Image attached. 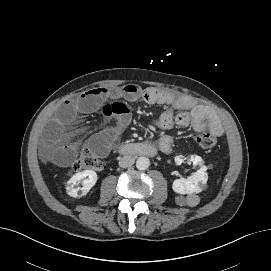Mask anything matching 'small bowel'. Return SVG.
<instances>
[{
  "instance_id": "small-bowel-1",
  "label": "small bowel",
  "mask_w": 271,
  "mask_h": 271,
  "mask_svg": "<svg viewBox=\"0 0 271 271\" xmlns=\"http://www.w3.org/2000/svg\"><path fill=\"white\" fill-rule=\"evenodd\" d=\"M121 99H142L149 104L166 106V110L154 121L160 129L169 130L174 125L191 126L195 132L208 129L216 136L222 134V125L214 111L208 106L198 104L194 98L156 87L142 88L137 84H127L119 89H90L75 99L62 103L45 127L42 155L56 165H70L76 156L79 140L75 134L68 133L66 128L79 115L94 112H100L105 118L116 121L115 125L96 133L89 141V147L94 152L101 156L107 155L113 141L130 121V111ZM159 146L164 153H171L173 137L162 136Z\"/></svg>"
}]
</instances>
